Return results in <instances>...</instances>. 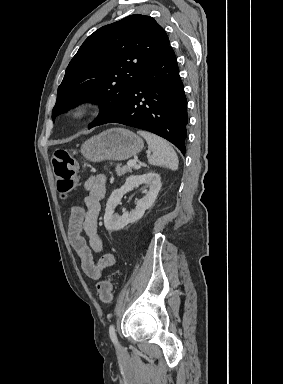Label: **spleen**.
Returning <instances> with one entry per match:
<instances>
[{
  "instance_id": "spleen-1",
  "label": "spleen",
  "mask_w": 283,
  "mask_h": 384,
  "mask_svg": "<svg viewBox=\"0 0 283 384\" xmlns=\"http://www.w3.org/2000/svg\"><path fill=\"white\" fill-rule=\"evenodd\" d=\"M137 134L145 138L150 152H153L152 156L148 158L149 164L164 166L169 170H177L179 164L177 154L166 140H162V138L154 136V134H149V132H137Z\"/></svg>"
}]
</instances>
